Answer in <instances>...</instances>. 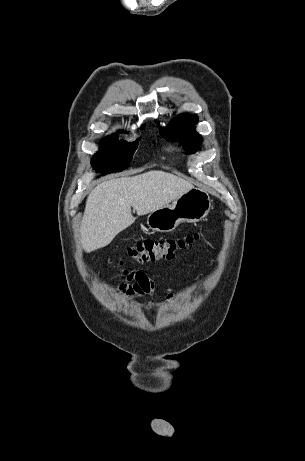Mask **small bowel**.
I'll return each mask as SVG.
<instances>
[{
    "label": "small bowel",
    "mask_w": 305,
    "mask_h": 461,
    "mask_svg": "<svg viewBox=\"0 0 305 461\" xmlns=\"http://www.w3.org/2000/svg\"><path fill=\"white\" fill-rule=\"evenodd\" d=\"M127 283L121 284L118 288L120 295L126 299H144L154 291L152 279L143 271H135L127 278ZM173 299V294L168 290L166 303Z\"/></svg>",
    "instance_id": "small-bowel-1"
}]
</instances>
